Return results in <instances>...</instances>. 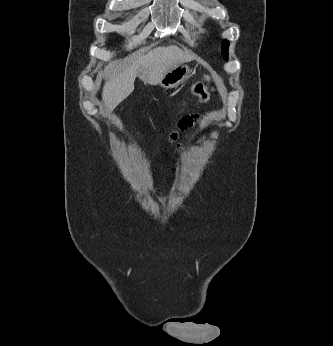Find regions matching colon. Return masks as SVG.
I'll return each mask as SVG.
<instances>
[{
  "instance_id": "5ec220e1",
  "label": "colon",
  "mask_w": 333,
  "mask_h": 346,
  "mask_svg": "<svg viewBox=\"0 0 333 346\" xmlns=\"http://www.w3.org/2000/svg\"><path fill=\"white\" fill-rule=\"evenodd\" d=\"M193 94L197 98H199L201 101H205L207 99V96H208V90H207L205 82H202V81L201 82H197L193 86Z\"/></svg>"
}]
</instances>
